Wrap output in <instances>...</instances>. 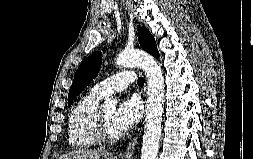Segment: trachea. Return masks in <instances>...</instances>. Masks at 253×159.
Segmentation results:
<instances>
[{
	"instance_id": "obj_1",
	"label": "trachea",
	"mask_w": 253,
	"mask_h": 159,
	"mask_svg": "<svg viewBox=\"0 0 253 159\" xmlns=\"http://www.w3.org/2000/svg\"><path fill=\"white\" fill-rule=\"evenodd\" d=\"M144 82H145V79L143 77H139L137 80L138 85L141 87L144 86Z\"/></svg>"
}]
</instances>
